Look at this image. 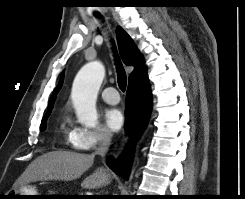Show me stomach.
<instances>
[{"instance_id": "1", "label": "stomach", "mask_w": 245, "mask_h": 199, "mask_svg": "<svg viewBox=\"0 0 245 199\" xmlns=\"http://www.w3.org/2000/svg\"><path fill=\"white\" fill-rule=\"evenodd\" d=\"M12 199H36V196H16V195H40L32 186L22 185L19 188L12 190L9 194Z\"/></svg>"}]
</instances>
